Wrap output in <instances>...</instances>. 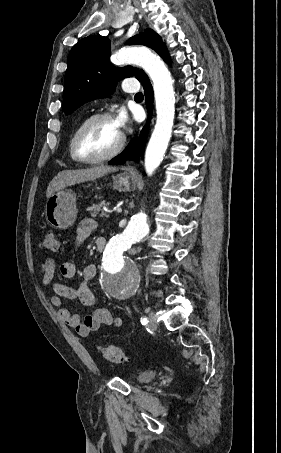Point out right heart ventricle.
Masks as SVG:
<instances>
[{
  "label": "right heart ventricle",
  "instance_id": "1",
  "mask_svg": "<svg viewBox=\"0 0 281 453\" xmlns=\"http://www.w3.org/2000/svg\"><path fill=\"white\" fill-rule=\"evenodd\" d=\"M75 132H76V130L71 134L70 140H69V147H70V152H71L72 156H73V150H74V135H75Z\"/></svg>",
  "mask_w": 281,
  "mask_h": 453
}]
</instances>
